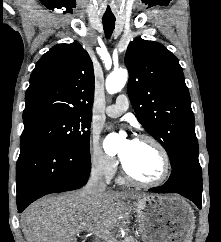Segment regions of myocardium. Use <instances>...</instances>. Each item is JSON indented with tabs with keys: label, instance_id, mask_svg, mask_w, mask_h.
<instances>
[{
	"label": "myocardium",
	"instance_id": "1",
	"mask_svg": "<svg viewBox=\"0 0 221 242\" xmlns=\"http://www.w3.org/2000/svg\"><path fill=\"white\" fill-rule=\"evenodd\" d=\"M137 140L140 141H148L150 143H152L156 149L158 150L161 159H162V172L160 174V176L152 181H145V180H141L139 178H137L136 176H134L127 168L124 160L122 157H120L121 160V166H122V170H123V174L125 176V178L137 185L143 186V187H155L158 186L160 184H162L169 176L170 173V168H171V162H170V157L169 154L166 150V148L163 146V144L156 139L155 137L151 136V135H147V134H143L140 135Z\"/></svg>",
	"mask_w": 221,
	"mask_h": 242
}]
</instances>
